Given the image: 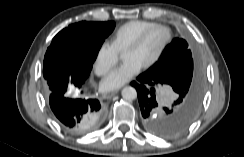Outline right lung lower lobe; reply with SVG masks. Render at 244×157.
<instances>
[{
    "label": "right lung lower lobe",
    "mask_w": 244,
    "mask_h": 157,
    "mask_svg": "<svg viewBox=\"0 0 244 157\" xmlns=\"http://www.w3.org/2000/svg\"><path fill=\"white\" fill-rule=\"evenodd\" d=\"M83 83L75 86L80 87ZM66 90L67 87L57 90L49 98L51 110L61 127L73 134H83L97 127L104 116L99 100L73 99L65 94Z\"/></svg>",
    "instance_id": "obj_1"
}]
</instances>
